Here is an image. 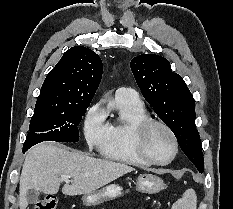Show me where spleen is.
Segmentation results:
<instances>
[{
    "label": "spleen",
    "instance_id": "obj_1",
    "mask_svg": "<svg viewBox=\"0 0 233 209\" xmlns=\"http://www.w3.org/2000/svg\"><path fill=\"white\" fill-rule=\"evenodd\" d=\"M197 196L193 189H188L183 194L182 198L177 200L172 209H196Z\"/></svg>",
    "mask_w": 233,
    "mask_h": 209
}]
</instances>
